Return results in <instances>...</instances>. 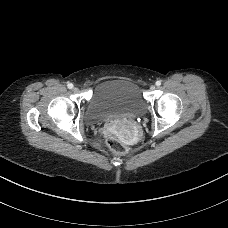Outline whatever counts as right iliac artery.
Returning a JSON list of instances; mask_svg holds the SVG:
<instances>
[{
    "label": "right iliac artery",
    "mask_w": 228,
    "mask_h": 228,
    "mask_svg": "<svg viewBox=\"0 0 228 228\" xmlns=\"http://www.w3.org/2000/svg\"><path fill=\"white\" fill-rule=\"evenodd\" d=\"M67 87H68L69 89H72V88H73V84H72V83H68Z\"/></svg>",
    "instance_id": "right-iliac-artery-1"
}]
</instances>
